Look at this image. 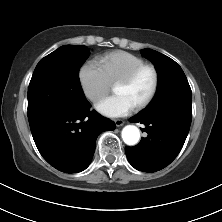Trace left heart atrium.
<instances>
[{"label":"left heart atrium","mask_w":222,"mask_h":222,"mask_svg":"<svg viewBox=\"0 0 222 222\" xmlns=\"http://www.w3.org/2000/svg\"><path fill=\"white\" fill-rule=\"evenodd\" d=\"M97 111L110 118L124 117L130 114L135 105L126 96L114 94L101 99L95 105Z\"/></svg>","instance_id":"39dd6f15"}]
</instances>
